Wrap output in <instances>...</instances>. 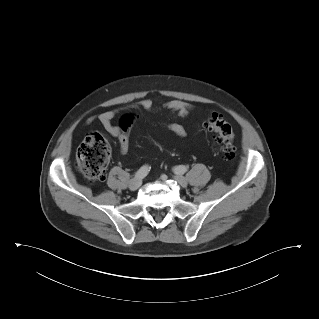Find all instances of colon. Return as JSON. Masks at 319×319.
<instances>
[{
  "label": "colon",
  "mask_w": 319,
  "mask_h": 319,
  "mask_svg": "<svg viewBox=\"0 0 319 319\" xmlns=\"http://www.w3.org/2000/svg\"><path fill=\"white\" fill-rule=\"evenodd\" d=\"M135 118L132 114L122 116L118 122L123 142H128L129 129ZM206 129L213 134L220 146L223 157L232 162L234 160V132L231 124L220 114H212L206 124ZM110 147L107 140L97 133L86 136L76 154V165L84 177L96 184L104 180L109 162Z\"/></svg>",
  "instance_id": "1"
}]
</instances>
